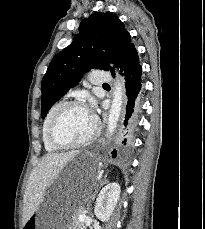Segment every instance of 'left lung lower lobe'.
I'll return each mask as SVG.
<instances>
[{"label":"left lung lower lobe","mask_w":205,"mask_h":229,"mask_svg":"<svg viewBox=\"0 0 205 229\" xmlns=\"http://www.w3.org/2000/svg\"><path fill=\"white\" fill-rule=\"evenodd\" d=\"M117 68H120L121 75L125 76L126 81V114L122 127V137L119 141L118 148V153L124 155L130 150L133 144L142 101V68L139 64L138 53L134 44L128 46L121 54ZM112 75L114 77L115 73H112ZM112 154L113 157H116L117 151L114 150Z\"/></svg>","instance_id":"obj_1"}]
</instances>
